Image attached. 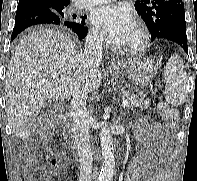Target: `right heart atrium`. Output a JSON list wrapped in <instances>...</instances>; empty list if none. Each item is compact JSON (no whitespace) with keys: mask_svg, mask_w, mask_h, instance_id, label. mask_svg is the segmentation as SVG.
I'll list each match as a JSON object with an SVG mask.
<instances>
[{"mask_svg":"<svg viewBox=\"0 0 197 181\" xmlns=\"http://www.w3.org/2000/svg\"><path fill=\"white\" fill-rule=\"evenodd\" d=\"M90 39L95 44H101L103 41L102 36L95 29L90 31Z\"/></svg>","mask_w":197,"mask_h":181,"instance_id":"right-heart-atrium-1","label":"right heart atrium"}]
</instances>
